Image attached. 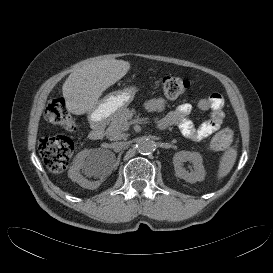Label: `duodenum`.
Masks as SVG:
<instances>
[{
    "label": "duodenum",
    "instance_id": "410a0bca",
    "mask_svg": "<svg viewBox=\"0 0 273 273\" xmlns=\"http://www.w3.org/2000/svg\"><path fill=\"white\" fill-rule=\"evenodd\" d=\"M163 125V123H161ZM104 136V121L94 120L92 122V128L89 134V138L92 141H100Z\"/></svg>",
    "mask_w": 273,
    "mask_h": 273
}]
</instances>
